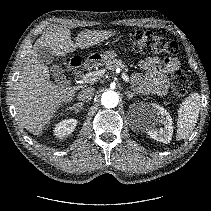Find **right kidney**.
Segmentation results:
<instances>
[{
	"label": "right kidney",
	"instance_id": "obj_1",
	"mask_svg": "<svg viewBox=\"0 0 211 211\" xmlns=\"http://www.w3.org/2000/svg\"><path fill=\"white\" fill-rule=\"evenodd\" d=\"M77 125V120L74 118L65 119L55 125L53 134L59 139H63L71 134Z\"/></svg>",
	"mask_w": 211,
	"mask_h": 211
}]
</instances>
